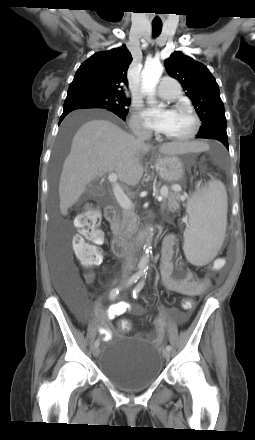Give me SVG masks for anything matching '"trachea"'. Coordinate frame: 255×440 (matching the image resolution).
Masks as SVG:
<instances>
[{"label":"trachea","mask_w":255,"mask_h":440,"mask_svg":"<svg viewBox=\"0 0 255 440\" xmlns=\"http://www.w3.org/2000/svg\"><path fill=\"white\" fill-rule=\"evenodd\" d=\"M162 31V23H152V33L157 37Z\"/></svg>","instance_id":"trachea-1"}]
</instances>
